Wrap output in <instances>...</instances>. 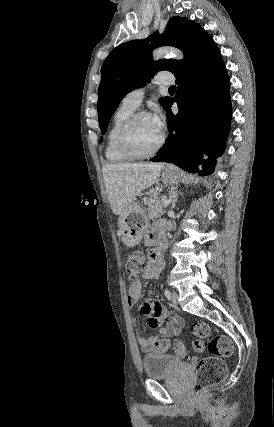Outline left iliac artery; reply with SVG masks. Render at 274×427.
<instances>
[{"instance_id": "left-iliac-artery-1", "label": "left iliac artery", "mask_w": 274, "mask_h": 427, "mask_svg": "<svg viewBox=\"0 0 274 427\" xmlns=\"http://www.w3.org/2000/svg\"><path fill=\"white\" fill-rule=\"evenodd\" d=\"M165 296L168 300L171 299V292L167 288L165 289Z\"/></svg>"}]
</instances>
